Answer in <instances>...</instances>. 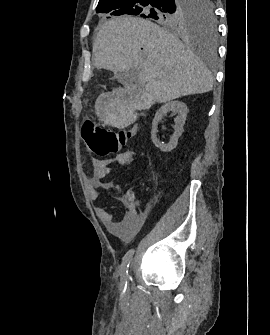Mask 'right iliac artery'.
I'll return each mask as SVG.
<instances>
[{"label":"right iliac artery","mask_w":270,"mask_h":335,"mask_svg":"<svg viewBox=\"0 0 270 335\" xmlns=\"http://www.w3.org/2000/svg\"><path fill=\"white\" fill-rule=\"evenodd\" d=\"M134 254V249H130L125 256L121 264V282L120 289L122 292H125L127 288V279H128V268Z\"/></svg>","instance_id":"1"}]
</instances>
